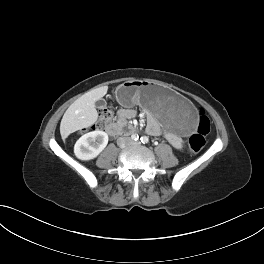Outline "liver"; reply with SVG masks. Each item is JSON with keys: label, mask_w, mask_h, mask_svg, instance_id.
Masks as SVG:
<instances>
[{"label": "liver", "mask_w": 264, "mask_h": 264, "mask_svg": "<svg viewBox=\"0 0 264 264\" xmlns=\"http://www.w3.org/2000/svg\"><path fill=\"white\" fill-rule=\"evenodd\" d=\"M107 90V86L93 89L69 106L60 124V133L63 140L69 134L83 128H88L96 122L98 112L95 108V102L100 100L107 93Z\"/></svg>", "instance_id": "liver-1"}]
</instances>
